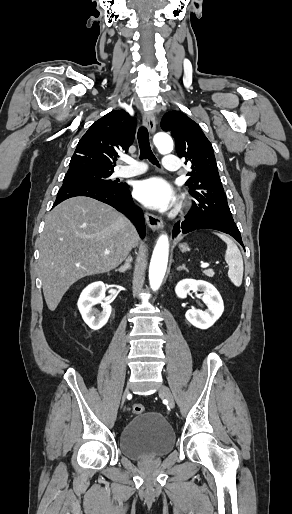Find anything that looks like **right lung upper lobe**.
I'll use <instances>...</instances> for the list:
<instances>
[{
    "mask_svg": "<svg viewBox=\"0 0 292 514\" xmlns=\"http://www.w3.org/2000/svg\"><path fill=\"white\" fill-rule=\"evenodd\" d=\"M136 119L125 110H113L97 120L77 144L68 172L113 171L118 154L134 141Z\"/></svg>",
    "mask_w": 292,
    "mask_h": 514,
    "instance_id": "cb5924a9",
    "label": "right lung upper lobe"
}]
</instances>
